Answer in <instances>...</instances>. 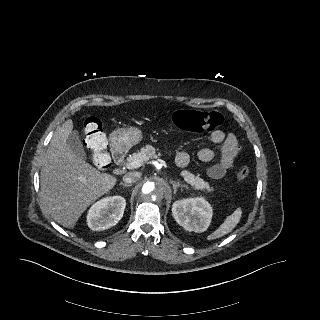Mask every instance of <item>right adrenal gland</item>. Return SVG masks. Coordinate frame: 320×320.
<instances>
[{
	"instance_id": "right-adrenal-gland-1",
	"label": "right adrenal gland",
	"mask_w": 320,
	"mask_h": 320,
	"mask_svg": "<svg viewBox=\"0 0 320 320\" xmlns=\"http://www.w3.org/2000/svg\"><path fill=\"white\" fill-rule=\"evenodd\" d=\"M120 185L124 186V187H130L131 184H127V183H120Z\"/></svg>"
}]
</instances>
